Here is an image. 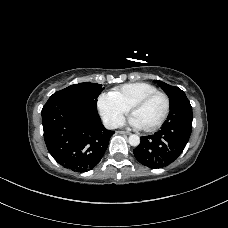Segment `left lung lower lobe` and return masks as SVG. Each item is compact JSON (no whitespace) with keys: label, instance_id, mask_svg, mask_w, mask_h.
I'll return each mask as SVG.
<instances>
[{"label":"left lung lower lobe","instance_id":"0a47b994","mask_svg":"<svg viewBox=\"0 0 228 228\" xmlns=\"http://www.w3.org/2000/svg\"><path fill=\"white\" fill-rule=\"evenodd\" d=\"M192 120V106L187 99L170 110L161 130L141 137L139 146L133 150L135 158L152 169L169 165L183 152L191 134Z\"/></svg>","mask_w":228,"mask_h":228}]
</instances>
